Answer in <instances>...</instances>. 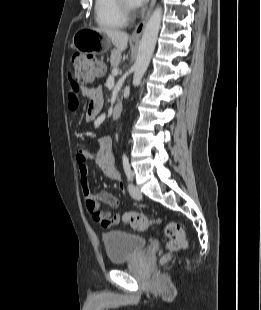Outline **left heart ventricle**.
Returning a JSON list of instances; mask_svg holds the SVG:
<instances>
[{"label": "left heart ventricle", "mask_w": 261, "mask_h": 310, "mask_svg": "<svg viewBox=\"0 0 261 310\" xmlns=\"http://www.w3.org/2000/svg\"><path fill=\"white\" fill-rule=\"evenodd\" d=\"M125 1L127 2V4H129V5H130L129 0H125Z\"/></svg>", "instance_id": "1"}]
</instances>
